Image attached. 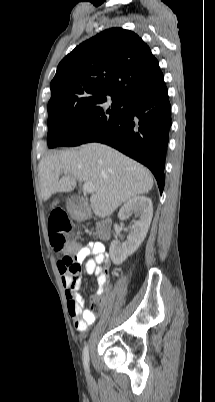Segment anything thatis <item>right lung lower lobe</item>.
Segmentation results:
<instances>
[{
    "label": "right lung lower lobe",
    "instance_id": "1",
    "mask_svg": "<svg viewBox=\"0 0 215 402\" xmlns=\"http://www.w3.org/2000/svg\"><path fill=\"white\" fill-rule=\"evenodd\" d=\"M170 126L171 104L164 85L128 98L123 114L103 131L85 138L83 143L107 144L147 166L162 193Z\"/></svg>",
    "mask_w": 215,
    "mask_h": 402
}]
</instances>
